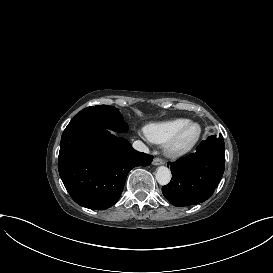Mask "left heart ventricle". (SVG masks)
<instances>
[{
  "instance_id": "left-heart-ventricle-1",
  "label": "left heart ventricle",
  "mask_w": 273,
  "mask_h": 273,
  "mask_svg": "<svg viewBox=\"0 0 273 273\" xmlns=\"http://www.w3.org/2000/svg\"><path fill=\"white\" fill-rule=\"evenodd\" d=\"M196 131V128H192L189 130L188 134H187V137H191Z\"/></svg>"
}]
</instances>
